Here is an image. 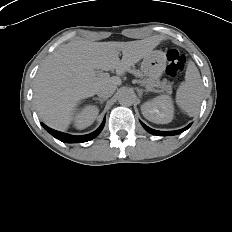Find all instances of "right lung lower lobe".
Here are the masks:
<instances>
[{
    "label": "right lung lower lobe",
    "mask_w": 232,
    "mask_h": 232,
    "mask_svg": "<svg viewBox=\"0 0 232 232\" xmlns=\"http://www.w3.org/2000/svg\"><path fill=\"white\" fill-rule=\"evenodd\" d=\"M105 124V119L103 121V123L101 124V126L94 132L87 134V135H82V136H72L66 133H62L59 131H56L54 129L49 128L48 126L42 124L44 126V128L50 133L52 134L55 138L63 141V142H67V143H80V142H86L89 141L93 138H95L103 129Z\"/></svg>",
    "instance_id": "1"
}]
</instances>
